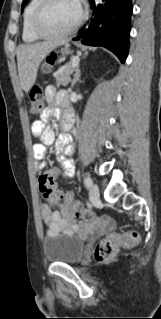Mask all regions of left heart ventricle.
Segmentation results:
<instances>
[{
    "instance_id": "b2bd125f",
    "label": "left heart ventricle",
    "mask_w": 161,
    "mask_h": 319,
    "mask_svg": "<svg viewBox=\"0 0 161 319\" xmlns=\"http://www.w3.org/2000/svg\"><path fill=\"white\" fill-rule=\"evenodd\" d=\"M79 13L77 0H52L42 14L40 25L46 32L66 29Z\"/></svg>"
}]
</instances>
